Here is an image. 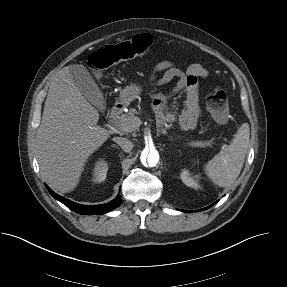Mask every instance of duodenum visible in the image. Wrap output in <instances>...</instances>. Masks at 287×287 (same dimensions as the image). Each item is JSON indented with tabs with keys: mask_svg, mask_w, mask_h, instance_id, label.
Here are the masks:
<instances>
[{
	"mask_svg": "<svg viewBox=\"0 0 287 287\" xmlns=\"http://www.w3.org/2000/svg\"><path fill=\"white\" fill-rule=\"evenodd\" d=\"M124 105L120 102L114 104L109 112V120L113 121L122 113Z\"/></svg>",
	"mask_w": 287,
	"mask_h": 287,
	"instance_id": "1",
	"label": "duodenum"
}]
</instances>
